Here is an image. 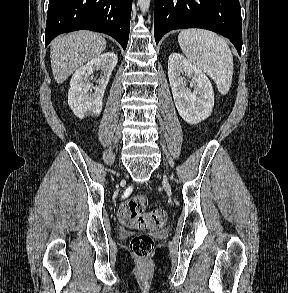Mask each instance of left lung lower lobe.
<instances>
[{"label": "left lung lower lobe", "mask_w": 288, "mask_h": 293, "mask_svg": "<svg viewBox=\"0 0 288 293\" xmlns=\"http://www.w3.org/2000/svg\"><path fill=\"white\" fill-rule=\"evenodd\" d=\"M203 28L227 37L239 55L242 48L239 0H155L156 44L173 29Z\"/></svg>", "instance_id": "1"}]
</instances>
